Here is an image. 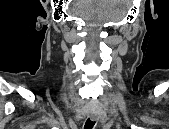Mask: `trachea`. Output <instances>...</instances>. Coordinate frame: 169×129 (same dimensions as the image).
Masks as SVG:
<instances>
[{"label":"trachea","mask_w":169,"mask_h":129,"mask_svg":"<svg viewBox=\"0 0 169 129\" xmlns=\"http://www.w3.org/2000/svg\"><path fill=\"white\" fill-rule=\"evenodd\" d=\"M94 124L95 122L90 120V118H88L85 122L84 129H92Z\"/></svg>","instance_id":"obj_1"}]
</instances>
